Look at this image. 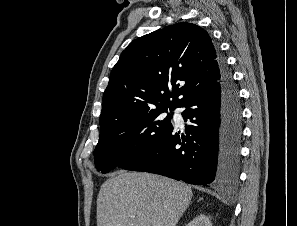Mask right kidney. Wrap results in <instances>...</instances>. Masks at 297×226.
<instances>
[{
	"label": "right kidney",
	"mask_w": 297,
	"mask_h": 226,
	"mask_svg": "<svg viewBox=\"0 0 297 226\" xmlns=\"http://www.w3.org/2000/svg\"><path fill=\"white\" fill-rule=\"evenodd\" d=\"M186 226H212V223L204 214H200L199 216L195 217L190 223Z\"/></svg>",
	"instance_id": "right-kidney-1"
}]
</instances>
